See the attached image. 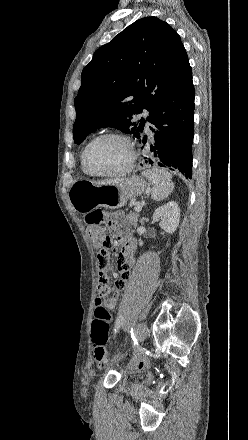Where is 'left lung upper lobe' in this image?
Instances as JSON below:
<instances>
[{"instance_id":"obj_1","label":"left lung upper lobe","mask_w":248,"mask_h":440,"mask_svg":"<svg viewBox=\"0 0 248 440\" xmlns=\"http://www.w3.org/2000/svg\"><path fill=\"white\" fill-rule=\"evenodd\" d=\"M191 80L189 60L175 30L156 17L135 21L84 67L74 100V142L80 144L107 126L140 138L145 121L134 122L133 115L147 109L149 120L171 92Z\"/></svg>"}]
</instances>
